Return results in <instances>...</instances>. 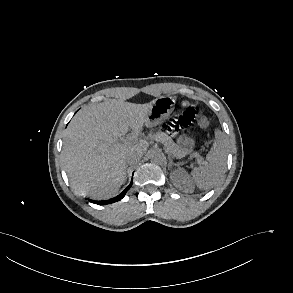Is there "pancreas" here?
I'll list each match as a JSON object with an SVG mask.
<instances>
[{
  "label": "pancreas",
  "mask_w": 293,
  "mask_h": 293,
  "mask_svg": "<svg viewBox=\"0 0 293 293\" xmlns=\"http://www.w3.org/2000/svg\"><path fill=\"white\" fill-rule=\"evenodd\" d=\"M150 139L152 140H156V141H159L161 142L165 149L171 153L172 155H174L175 157H181L184 155V152L183 150L177 146L173 140L171 139V137H169L166 133L164 132H157V133H154V134H151L150 135Z\"/></svg>",
  "instance_id": "obj_1"
}]
</instances>
